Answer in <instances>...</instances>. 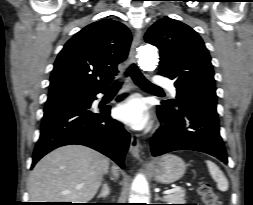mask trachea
<instances>
[{"instance_id":"obj_1","label":"trachea","mask_w":253,"mask_h":205,"mask_svg":"<svg viewBox=\"0 0 253 205\" xmlns=\"http://www.w3.org/2000/svg\"><path fill=\"white\" fill-rule=\"evenodd\" d=\"M125 76H131L134 82L139 85L140 87L152 89V90H161L160 87L150 83L139 71V69L136 67L135 64H132L129 66V68L126 70ZM121 84H116L113 87L117 88L120 87Z\"/></svg>"}]
</instances>
